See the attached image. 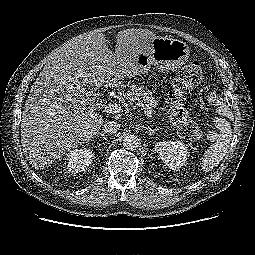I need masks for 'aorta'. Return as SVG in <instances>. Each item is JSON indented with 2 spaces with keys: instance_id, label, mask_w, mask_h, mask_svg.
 Segmentation results:
<instances>
[{
  "instance_id": "obj_1",
  "label": "aorta",
  "mask_w": 255,
  "mask_h": 255,
  "mask_svg": "<svg viewBox=\"0 0 255 255\" xmlns=\"http://www.w3.org/2000/svg\"><path fill=\"white\" fill-rule=\"evenodd\" d=\"M140 144V139L135 134H126L123 138V146L127 150H135Z\"/></svg>"
}]
</instances>
